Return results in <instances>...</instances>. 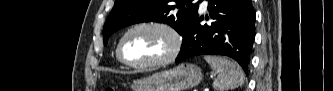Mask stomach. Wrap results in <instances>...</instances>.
Returning a JSON list of instances; mask_svg holds the SVG:
<instances>
[{
    "instance_id": "1",
    "label": "stomach",
    "mask_w": 333,
    "mask_h": 91,
    "mask_svg": "<svg viewBox=\"0 0 333 91\" xmlns=\"http://www.w3.org/2000/svg\"><path fill=\"white\" fill-rule=\"evenodd\" d=\"M202 78L201 69L197 65L183 63L136 80L132 88L134 91H185L197 86Z\"/></svg>"
}]
</instances>
